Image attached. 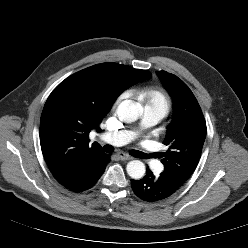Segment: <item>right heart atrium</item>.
Here are the masks:
<instances>
[{"label": "right heart atrium", "instance_id": "d8ad5b80", "mask_svg": "<svg viewBox=\"0 0 248 248\" xmlns=\"http://www.w3.org/2000/svg\"><path fill=\"white\" fill-rule=\"evenodd\" d=\"M123 97H124V95L121 94V95L118 97V99L116 100V104L119 103Z\"/></svg>", "mask_w": 248, "mask_h": 248}]
</instances>
